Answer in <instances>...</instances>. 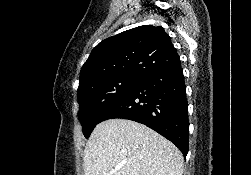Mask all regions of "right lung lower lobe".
<instances>
[{
	"mask_svg": "<svg viewBox=\"0 0 251 175\" xmlns=\"http://www.w3.org/2000/svg\"><path fill=\"white\" fill-rule=\"evenodd\" d=\"M181 62L142 78L100 118L142 123L173 142L186 157L189 121Z\"/></svg>",
	"mask_w": 251,
	"mask_h": 175,
	"instance_id": "1",
	"label": "right lung lower lobe"
}]
</instances>
